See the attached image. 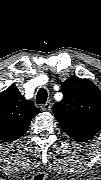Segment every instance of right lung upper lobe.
I'll list each match as a JSON object with an SVG mask.
<instances>
[{"label": "right lung upper lobe", "instance_id": "obj_1", "mask_svg": "<svg viewBox=\"0 0 101 180\" xmlns=\"http://www.w3.org/2000/svg\"><path fill=\"white\" fill-rule=\"evenodd\" d=\"M40 110L21 95L13 84L0 94V139L13 142L28 130Z\"/></svg>", "mask_w": 101, "mask_h": 180}]
</instances>
